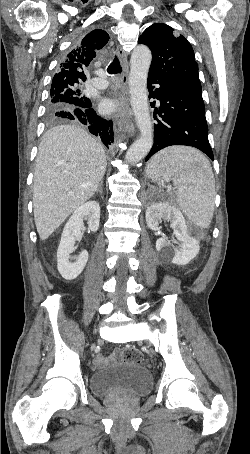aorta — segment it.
<instances>
[{"instance_id": "obj_1", "label": "aorta", "mask_w": 250, "mask_h": 454, "mask_svg": "<svg viewBox=\"0 0 250 454\" xmlns=\"http://www.w3.org/2000/svg\"><path fill=\"white\" fill-rule=\"evenodd\" d=\"M151 60V51L147 46L139 45L134 48L130 61L129 89L130 103L140 136L126 153L125 160L128 163H136L142 160L153 145V125L150 118L147 91V77Z\"/></svg>"}]
</instances>
